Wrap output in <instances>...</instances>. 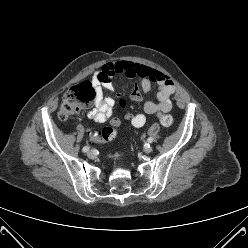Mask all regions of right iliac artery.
Masks as SVG:
<instances>
[{"label": "right iliac artery", "mask_w": 248, "mask_h": 248, "mask_svg": "<svg viewBox=\"0 0 248 248\" xmlns=\"http://www.w3.org/2000/svg\"><path fill=\"white\" fill-rule=\"evenodd\" d=\"M82 151L85 152V153L88 152L89 151V147L88 146L83 147Z\"/></svg>", "instance_id": "82829eb1"}]
</instances>
